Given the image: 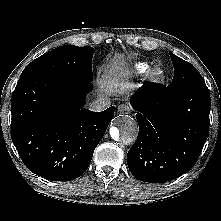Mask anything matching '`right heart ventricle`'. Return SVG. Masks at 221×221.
Instances as JSON below:
<instances>
[{
    "instance_id": "obj_1",
    "label": "right heart ventricle",
    "mask_w": 221,
    "mask_h": 221,
    "mask_svg": "<svg viewBox=\"0 0 221 221\" xmlns=\"http://www.w3.org/2000/svg\"><path fill=\"white\" fill-rule=\"evenodd\" d=\"M135 72L137 74H143L145 72H148L151 68V65L147 62H139L135 65Z\"/></svg>"
}]
</instances>
